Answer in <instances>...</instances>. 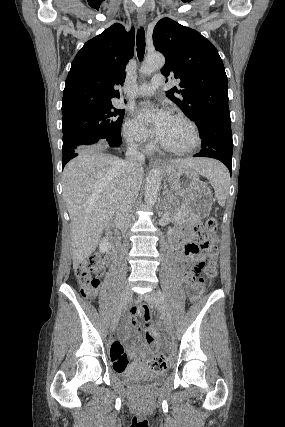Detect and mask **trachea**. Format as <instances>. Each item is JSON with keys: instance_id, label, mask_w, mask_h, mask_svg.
Returning <instances> with one entry per match:
<instances>
[{"instance_id": "3493384b", "label": "trachea", "mask_w": 285, "mask_h": 427, "mask_svg": "<svg viewBox=\"0 0 285 427\" xmlns=\"http://www.w3.org/2000/svg\"><path fill=\"white\" fill-rule=\"evenodd\" d=\"M136 45H137V55L139 60H142L145 53V31L144 28H140L137 30V36H136Z\"/></svg>"}]
</instances>
